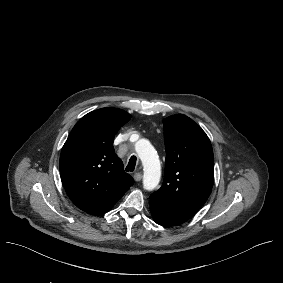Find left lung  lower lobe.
<instances>
[{"label": "left lung lower lobe", "mask_w": 283, "mask_h": 283, "mask_svg": "<svg viewBox=\"0 0 283 283\" xmlns=\"http://www.w3.org/2000/svg\"><path fill=\"white\" fill-rule=\"evenodd\" d=\"M199 209L171 203L161 197L150 196V212L154 221L162 226L180 225L194 216Z\"/></svg>", "instance_id": "obj_1"}]
</instances>
